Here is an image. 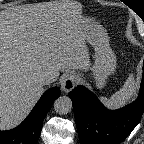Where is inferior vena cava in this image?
Returning a JSON list of instances; mask_svg holds the SVG:
<instances>
[{
    "label": "inferior vena cava",
    "instance_id": "obj_1",
    "mask_svg": "<svg viewBox=\"0 0 144 144\" xmlns=\"http://www.w3.org/2000/svg\"><path fill=\"white\" fill-rule=\"evenodd\" d=\"M56 80H57V75L53 72H48L42 76L40 81L43 85H49Z\"/></svg>",
    "mask_w": 144,
    "mask_h": 144
}]
</instances>
